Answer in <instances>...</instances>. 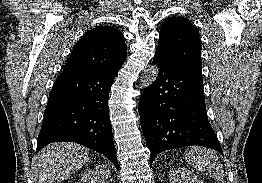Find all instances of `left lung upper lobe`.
<instances>
[{
    "mask_svg": "<svg viewBox=\"0 0 262 183\" xmlns=\"http://www.w3.org/2000/svg\"><path fill=\"white\" fill-rule=\"evenodd\" d=\"M201 50L199 31L188 19L174 16L163 23L156 57L202 77Z\"/></svg>",
    "mask_w": 262,
    "mask_h": 183,
    "instance_id": "left-lung-upper-lobe-1",
    "label": "left lung upper lobe"
}]
</instances>
